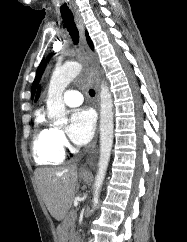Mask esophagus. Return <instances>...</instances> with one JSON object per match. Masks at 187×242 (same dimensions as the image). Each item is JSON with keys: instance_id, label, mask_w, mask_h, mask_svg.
I'll return each mask as SVG.
<instances>
[{"instance_id": "obj_1", "label": "esophagus", "mask_w": 187, "mask_h": 242, "mask_svg": "<svg viewBox=\"0 0 187 242\" xmlns=\"http://www.w3.org/2000/svg\"><path fill=\"white\" fill-rule=\"evenodd\" d=\"M74 19L76 22V25L78 27L79 30V35H80V43H81V48H82V52H83V57H84V61L87 64V66L89 67L90 71L92 72L93 76H94V80H95V87H96V91H97V99L99 98V63L95 57V55L93 54V52L91 51L90 47L88 46V43L86 41V37H85V27H84V23H83V19L80 15L79 12H75L74 13ZM97 137L98 134L96 133L95 139L92 143V147L89 151V156L87 161L80 167V171L81 172H88L89 171V162H90V157L94 151V148L96 146L97 143Z\"/></svg>"}]
</instances>
